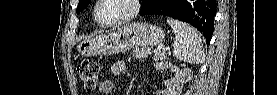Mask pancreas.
<instances>
[{
  "mask_svg": "<svg viewBox=\"0 0 277 95\" xmlns=\"http://www.w3.org/2000/svg\"><path fill=\"white\" fill-rule=\"evenodd\" d=\"M152 54V49L150 47H140V48H135L133 50V57L134 58H147L149 55ZM166 58L165 52H157L153 55L154 60H163Z\"/></svg>",
  "mask_w": 277,
  "mask_h": 95,
  "instance_id": "1",
  "label": "pancreas"
}]
</instances>
